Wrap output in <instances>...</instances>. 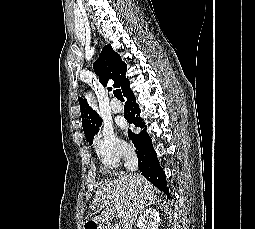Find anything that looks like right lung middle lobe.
<instances>
[{
    "label": "right lung middle lobe",
    "instance_id": "1",
    "mask_svg": "<svg viewBox=\"0 0 255 229\" xmlns=\"http://www.w3.org/2000/svg\"><path fill=\"white\" fill-rule=\"evenodd\" d=\"M100 126H101V125H100ZM100 126H99V127H100ZM98 130H99V128L97 129V131H98ZM97 131H96V132H97ZM94 135H95V134H94ZM94 135H93L91 138L88 139L90 145H91L92 142H93Z\"/></svg>",
    "mask_w": 255,
    "mask_h": 229
}]
</instances>
